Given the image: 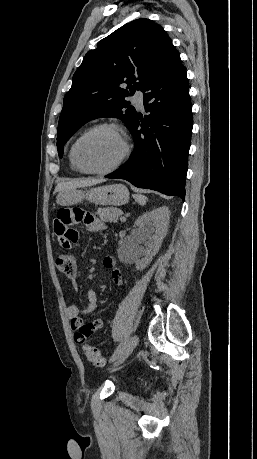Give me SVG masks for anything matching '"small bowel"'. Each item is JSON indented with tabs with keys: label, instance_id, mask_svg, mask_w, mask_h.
<instances>
[{
	"label": "small bowel",
	"instance_id": "small-bowel-1",
	"mask_svg": "<svg viewBox=\"0 0 257 459\" xmlns=\"http://www.w3.org/2000/svg\"><path fill=\"white\" fill-rule=\"evenodd\" d=\"M76 226H85L86 229L101 230L105 224L93 217L89 205H61L60 211L56 212L53 221L54 234L59 236V241L63 245L64 251H75L79 242L80 234L76 231ZM104 266L111 271V278L114 284L121 287L123 284L122 273L116 267V259L113 256H106L103 260ZM70 282L77 290V280L75 277ZM98 306V295L94 290L86 293L82 304H72L68 307L67 313L70 319V328L76 343L83 344L87 338L96 330L103 328L104 323L101 319H96L91 323H84L83 318L92 314Z\"/></svg>",
	"mask_w": 257,
	"mask_h": 459
}]
</instances>
